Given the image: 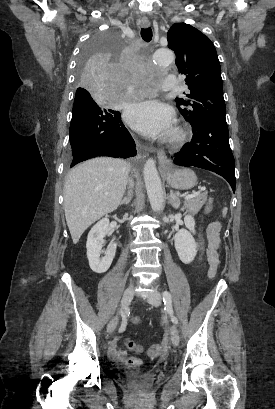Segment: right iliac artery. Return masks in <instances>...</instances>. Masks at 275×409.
<instances>
[{
  "mask_svg": "<svg viewBox=\"0 0 275 409\" xmlns=\"http://www.w3.org/2000/svg\"><path fill=\"white\" fill-rule=\"evenodd\" d=\"M122 312L123 311H121V313ZM126 325H127V320L125 318V314H122V324H121V326L119 328V332H123L125 330V328H126Z\"/></svg>",
  "mask_w": 275,
  "mask_h": 409,
  "instance_id": "82829eb1",
  "label": "right iliac artery"
}]
</instances>
